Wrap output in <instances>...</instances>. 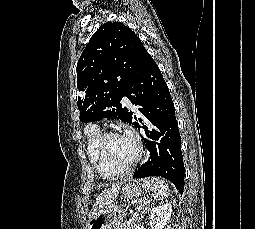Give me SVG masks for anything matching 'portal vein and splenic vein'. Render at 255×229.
Wrapping results in <instances>:
<instances>
[{"label": "portal vein and splenic vein", "instance_id": "18ae733b", "mask_svg": "<svg viewBox=\"0 0 255 229\" xmlns=\"http://www.w3.org/2000/svg\"><path fill=\"white\" fill-rule=\"evenodd\" d=\"M134 219L133 220H130L129 222H127L126 224L127 225H131L133 223Z\"/></svg>", "mask_w": 255, "mask_h": 229}]
</instances>
